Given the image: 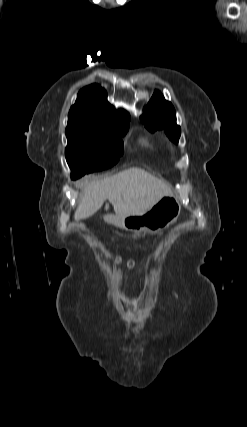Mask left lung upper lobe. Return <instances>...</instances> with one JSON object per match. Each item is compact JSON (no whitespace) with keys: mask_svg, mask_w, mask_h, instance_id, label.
I'll return each mask as SVG.
<instances>
[{"mask_svg":"<svg viewBox=\"0 0 247 427\" xmlns=\"http://www.w3.org/2000/svg\"><path fill=\"white\" fill-rule=\"evenodd\" d=\"M141 120L148 130L154 132L164 129L169 139L174 143H178L181 129L176 124L175 109L159 92L155 91L145 108Z\"/></svg>","mask_w":247,"mask_h":427,"instance_id":"obj_1","label":"left lung upper lobe"}]
</instances>
